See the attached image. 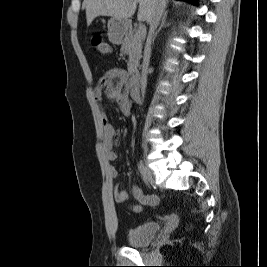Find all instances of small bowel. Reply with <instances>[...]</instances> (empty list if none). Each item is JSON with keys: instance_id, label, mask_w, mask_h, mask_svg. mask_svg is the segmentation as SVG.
Segmentation results:
<instances>
[{"instance_id": "obj_1", "label": "small bowel", "mask_w": 267, "mask_h": 267, "mask_svg": "<svg viewBox=\"0 0 267 267\" xmlns=\"http://www.w3.org/2000/svg\"><path fill=\"white\" fill-rule=\"evenodd\" d=\"M129 91L130 84L126 70L122 68H112L102 75L98 84L93 88L92 93L96 102L100 103L103 95H105L107 100L115 105L123 115L129 116L132 111ZM101 120L103 126L102 148L104 154L108 161H115L117 159V154L114 151V140L119 133L110 123L109 118L104 111H101ZM108 172L112 178H115L118 175L117 168L112 165L109 166ZM132 194L137 201L129 205V210L133 213H140L143 205L155 206L158 204L157 196L145 195L137 186L132 188ZM113 196L117 203H124L129 197L126 190L118 188L114 189ZM176 219L175 215H170L166 218L169 223H175Z\"/></svg>"}]
</instances>
